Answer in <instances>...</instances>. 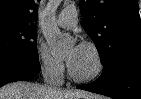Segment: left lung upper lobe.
<instances>
[{"label": "left lung upper lobe", "mask_w": 141, "mask_h": 99, "mask_svg": "<svg viewBox=\"0 0 141 99\" xmlns=\"http://www.w3.org/2000/svg\"><path fill=\"white\" fill-rule=\"evenodd\" d=\"M82 24L95 43L104 69L126 56L141 57L137 0H80Z\"/></svg>", "instance_id": "obj_1"}]
</instances>
